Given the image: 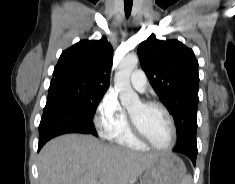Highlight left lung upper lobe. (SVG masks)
I'll list each match as a JSON object with an SVG mask.
<instances>
[{
  "label": "left lung upper lobe",
  "instance_id": "obj_1",
  "mask_svg": "<svg viewBox=\"0 0 235 184\" xmlns=\"http://www.w3.org/2000/svg\"><path fill=\"white\" fill-rule=\"evenodd\" d=\"M142 69L162 103L173 115L177 146L197 148L198 61L192 49L178 40L151 35L138 47Z\"/></svg>",
  "mask_w": 235,
  "mask_h": 184
}]
</instances>
